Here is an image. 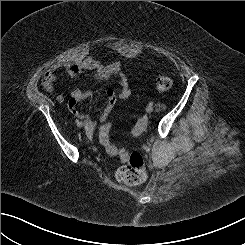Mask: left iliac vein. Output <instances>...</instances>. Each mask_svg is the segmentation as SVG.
<instances>
[{"mask_svg": "<svg viewBox=\"0 0 245 245\" xmlns=\"http://www.w3.org/2000/svg\"><path fill=\"white\" fill-rule=\"evenodd\" d=\"M153 110H154L153 106L149 105V106L146 107V112H148V113L153 112Z\"/></svg>", "mask_w": 245, "mask_h": 245, "instance_id": "4c4485c4", "label": "left iliac vein"}]
</instances>
